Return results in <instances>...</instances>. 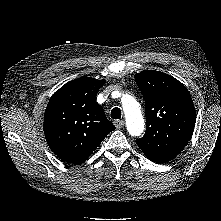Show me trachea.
Listing matches in <instances>:
<instances>
[{"instance_id":"trachea-1","label":"trachea","mask_w":221,"mask_h":221,"mask_svg":"<svg viewBox=\"0 0 221 221\" xmlns=\"http://www.w3.org/2000/svg\"><path fill=\"white\" fill-rule=\"evenodd\" d=\"M111 118L120 119L121 118V110L118 107H115L111 110Z\"/></svg>"}]
</instances>
